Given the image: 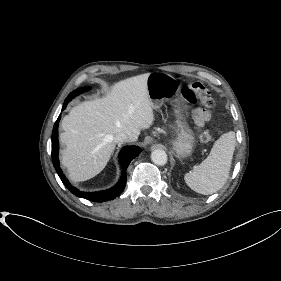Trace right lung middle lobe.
I'll list each match as a JSON object with an SVG mask.
<instances>
[{"instance_id": "obj_1", "label": "right lung middle lobe", "mask_w": 281, "mask_h": 281, "mask_svg": "<svg viewBox=\"0 0 281 281\" xmlns=\"http://www.w3.org/2000/svg\"><path fill=\"white\" fill-rule=\"evenodd\" d=\"M89 89L90 87H81L79 89L74 90L72 93L69 94V96L75 97L76 95L83 93Z\"/></svg>"}]
</instances>
